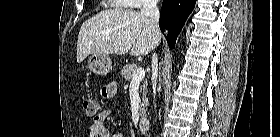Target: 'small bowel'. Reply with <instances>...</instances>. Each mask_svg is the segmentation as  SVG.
<instances>
[{
  "label": "small bowel",
  "instance_id": "1",
  "mask_svg": "<svg viewBox=\"0 0 280 137\" xmlns=\"http://www.w3.org/2000/svg\"><path fill=\"white\" fill-rule=\"evenodd\" d=\"M102 95L108 94V96L113 97L117 93V84L115 82H110L102 88ZM110 115V109H104L98 113L96 117L93 118V122L89 127V134L97 133L98 137H109L108 130L105 126V121ZM113 137H122L121 135H114Z\"/></svg>",
  "mask_w": 280,
  "mask_h": 137
}]
</instances>
